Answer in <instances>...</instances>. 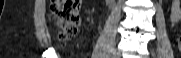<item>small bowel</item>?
Listing matches in <instances>:
<instances>
[{
    "instance_id": "1",
    "label": "small bowel",
    "mask_w": 181,
    "mask_h": 58,
    "mask_svg": "<svg viewBox=\"0 0 181 58\" xmlns=\"http://www.w3.org/2000/svg\"><path fill=\"white\" fill-rule=\"evenodd\" d=\"M170 20L173 26H175L181 20V5L176 0L171 3Z\"/></svg>"
}]
</instances>
